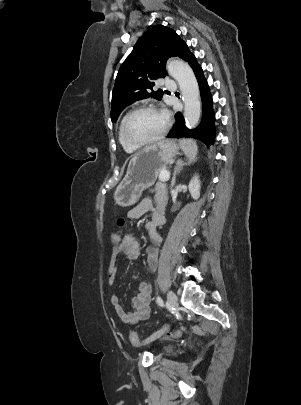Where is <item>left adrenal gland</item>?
I'll list each match as a JSON object with an SVG mask.
<instances>
[{
	"instance_id": "a2214340",
	"label": "left adrenal gland",
	"mask_w": 301,
	"mask_h": 405,
	"mask_svg": "<svg viewBox=\"0 0 301 405\" xmlns=\"http://www.w3.org/2000/svg\"><path fill=\"white\" fill-rule=\"evenodd\" d=\"M187 165L186 163H184L182 160H178L176 163V167L174 169V174H173V178L171 181V187H173L175 185V181H176V176L180 173V171L183 169V167Z\"/></svg>"
}]
</instances>
